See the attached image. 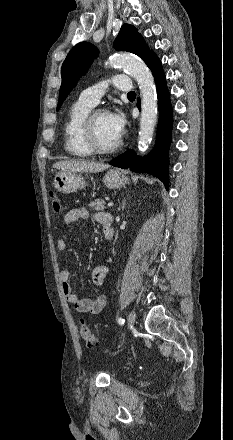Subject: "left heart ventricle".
Wrapping results in <instances>:
<instances>
[{
  "label": "left heart ventricle",
  "instance_id": "b2bd125f",
  "mask_svg": "<svg viewBox=\"0 0 233 440\" xmlns=\"http://www.w3.org/2000/svg\"><path fill=\"white\" fill-rule=\"evenodd\" d=\"M94 130L97 143L102 147H110L120 138L114 131L109 114H101L94 121Z\"/></svg>",
  "mask_w": 233,
  "mask_h": 440
}]
</instances>
